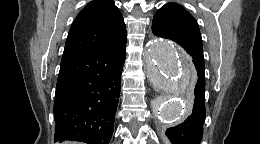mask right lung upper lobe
Returning <instances> with one entry per match:
<instances>
[{
  "label": "right lung upper lobe",
  "mask_w": 260,
  "mask_h": 144,
  "mask_svg": "<svg viewBox=\"0 0 260 144\" xmlns=\"http://www.w3.org/2000/svg\"><path fill=\"white\" fill-rule=\"evenodd\" d=\"M126 36L123 17L113 0L91 1L71 25L62 58L122 43Z\"/></svg>",
  "instance_id": "right-lung-upper-lobe-1"
}]
</instances>
